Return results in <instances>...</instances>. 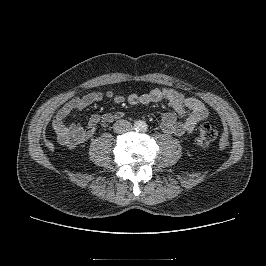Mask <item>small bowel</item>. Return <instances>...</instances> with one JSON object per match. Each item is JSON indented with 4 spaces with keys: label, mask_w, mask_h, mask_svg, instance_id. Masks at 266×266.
<instances>
[{
    "label": "small bowel",
    "mask_w": 266,
    "mask_h": 266,
    "mask_svg": "<svg viewBox=\"0 0 266 266\" xmlns=\"http://www.w3.org/2000/svg\"><path fill=\"white\" fill-rule=\"evenodd\" d=\"M105 95L115 104H123L127 101L134 105H148L165 101L172 111L162 115L160 127L165 133L177 137L192 133L195 127L209 115L207 107L200 100L184 96L168 87H157L142 94L130 93L127 96L109 90ZM102 101L103 94L93 91L83 97L73 98L64 104L52 121V129L58 142L67 148H74L91 139L96 134L99 125H108L123 117V113L118 111L102 115L94 114L90 116L86 126H82L78 122L66 124V119L73 112Z\"/></svg>",
    "instance_id": "c3829d8e"
}]
</instances>
